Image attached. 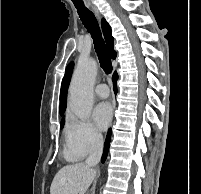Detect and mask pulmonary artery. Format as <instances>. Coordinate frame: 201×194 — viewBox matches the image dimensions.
I'll use <instances>...</instances> for the list:
<instances>
[{
	"mask_svg": "<svg viewBox=\"0 0 201 194\" xmlns=\"http://www.w3.org/2000/svg\"><path fill=\"white\" fill-rule=\"evenodd\" d=\"M95 94L100 98H107L109 95L108 86L104 83H100L95 87Z\"/></svg>",
	"mask_w": 201,
	"mask_h": 194,
	"instance_id": "pulmonary-artery-1",
	"label": "pulmonary artery"
}]
</instances>
